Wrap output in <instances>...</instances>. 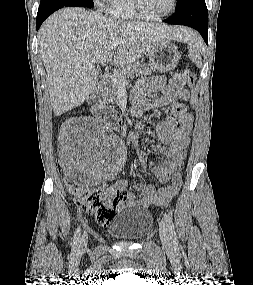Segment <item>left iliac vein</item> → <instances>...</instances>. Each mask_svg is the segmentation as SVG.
<instances>
[{
	"label": "left iliac vein",
	"mask_w": 253,
	"mask_h": 285,
	"mask_svg": "<svg viewBox=\"0 0 253 285\" xmlns=\"http://www.w3.org/2000/svg\"><path fill=\"white\" fill-rule=\"evenodd\" d=\"M159 234L162 245L166 249H170L172 247L171 236L169 233V229L164 221L159 223Z\"/></svg>",
	"instance_id": "4c4485c4"
}]
</instances>
